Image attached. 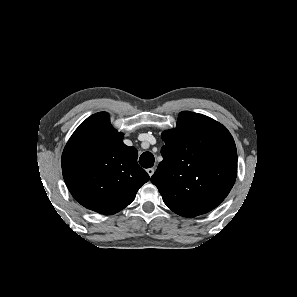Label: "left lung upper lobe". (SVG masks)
<instances>
[{
    "label": "left lung upper lobe",
    "mask_w": 297,
    "mask_h": 297,
    "mask_svg": "<svg viewBox=\"0 0 297 297\" xmlns=\"http://www.w3.org/2000/svg\"><path fill=\"white\" fill-rule=\"evenodd\" d=\"M166 143L151 182L175 213L195 217L217 207L237 176V150L219 122L194 112L179 114L175 129L162 133Z\"/></svg>",
    "instance_id": "5c2ea615"
}]
</instances>
